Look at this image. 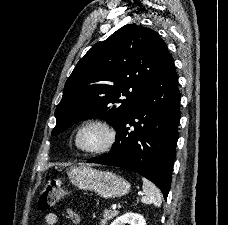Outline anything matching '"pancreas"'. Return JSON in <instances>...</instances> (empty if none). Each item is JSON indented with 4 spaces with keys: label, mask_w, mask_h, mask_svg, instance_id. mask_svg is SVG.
Segmentation results:
<instances>
[{
    "label": "pancreas",
    "mask_w": 228,
    "mask_h": 225,
    "mask_svg": "<svg viewBox=\"0 0 228 225\" xmlns=\"http://www.w3.org/2000/svg\"><path fill=\"white\" fill-rule=\"evenodd\" d=\"M116 215H118V211H108V209H105L100 225H107L108 221H111Z\"/></svg>",
    "instance_id": "cf45deb5"
}]
</instances>
